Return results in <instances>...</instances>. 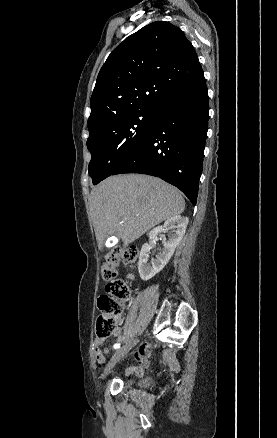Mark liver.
Returning <instances> with one entry per match:
<instances>
[{"label": "liver", "mask_w": 277, "mask_h": 438, "mask_svg": "<svg viewBox=\"0 0 277 438\" xmlns=\"http://www.w3.org/2000/svg\"><path fill=\"white\" fill-rule=\"evenodd\" d=\"M90 206L100 250L108 236H118L124 248L148 230L182 214L179 190L153 176L119 174L93 188Z\"/></svg>", "instance_id": "obj_1"}]
</instances>
